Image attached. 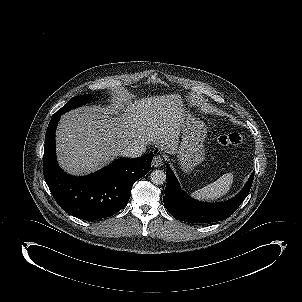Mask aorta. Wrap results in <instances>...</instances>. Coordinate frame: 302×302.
<instances>
[{"label": "aorta", "instance_id": "762f6f07", "mask_svg": "<svg viewBox=\"0 0 302 302\" xmlns=\"http://www.w3.org/2000/svg\"><path fill=\"white\" fill-rule=\"evenodd\" d=\"M150 180L155 185H162L166 182V174L163 170H154L150 174Z\"/></svg>", "mask_w": 302, "mask_h": 302}]
</instances>
